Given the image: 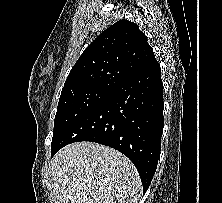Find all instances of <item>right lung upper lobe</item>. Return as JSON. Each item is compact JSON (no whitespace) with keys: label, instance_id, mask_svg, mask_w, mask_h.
Segmentation results:
<instances>
[{"label":"right lung upper lobe","instance_id":"1","mask_svg":"<svg viewBox=\"0 0 222 203\" xmlns=\"http://www.w3.org/2000/svg\"><path fill=\"white\" fill-rule=\"evenodd\" d=\"M155 61L153 49L139 26L119 20L84 50L63 89L98 86L113 90L127 77Z\"/></svg>","mask_w":222,"mask_h":203}]
</instances>
